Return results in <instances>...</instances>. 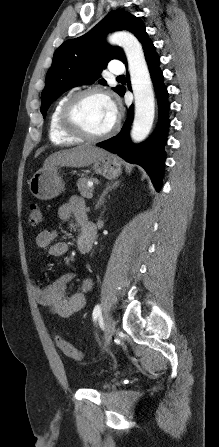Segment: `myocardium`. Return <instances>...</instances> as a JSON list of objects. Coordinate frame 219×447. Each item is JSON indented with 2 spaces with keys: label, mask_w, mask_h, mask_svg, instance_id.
I'll return each instance as SVG.
<instances>
[{
  "label": "myocardium",
  "mask_w": 219,
  "mask_h": 447,
  "mask_svg": "<svg viewBox=\"0 0 219 447\" xmlns=\"http://www.w3.org/2000/svg\"><path fill=\"white\" fill-rule=\"evenodd\" d=\"M89 97H100L110 101L108 95L100 89H87L70 96L60 113V124L67 133L86 141H99L113 135L118 127V120L105 132L94 134L86 130L77 120L76 112L81 103Z\"/></svg>",
  "instance_id": "myocardium-1"
}]
</instances>
